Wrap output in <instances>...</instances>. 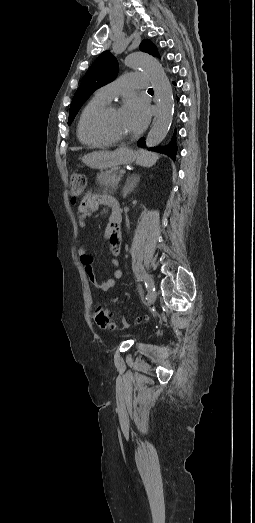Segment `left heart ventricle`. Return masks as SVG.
Listing matches in <instances>:
<instances>
[{
  "instance_id": "1",
  "label": "left heart ventricle",
  "mask_w": 255,
  "mask_h": 523,
  "mask_svg": "<svg viewBox=\"0 0 255 523\" xmlns=\"http://www.w3.org/2000/svg\"><path fill=\"white\" fill-rule=\"evenodd\" d=\"M95 126L100 131L112 136L123 138L134 136L131 116L125 107L120 110H111L99 117Z\"/></svg>"
}]
</instances>
